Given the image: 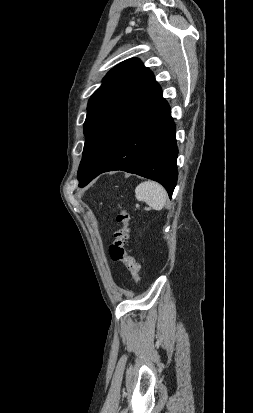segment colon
<instances>
[{
    "mask_svg": "<svg viewBox=\"0 0 253 413\" xmlns=\"http://www.w3.org/2000/svg\"><path fill=\"white\" fill-rule=\"evenodd\" d=\"M116 221L120 224V228L114 234V241L109 246V255L113 261L122 262L128 268L134 283L137 285L140 283V265L130 256L126 250L125 245L129 238V213L122 208L120 204H117Z\"/></svg>",
    "mask_w": 253,
    "mask_h": 413,
    "instance_id": "obj_1",
    "label": "colon"
}]
</instances>
